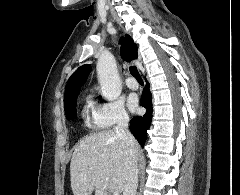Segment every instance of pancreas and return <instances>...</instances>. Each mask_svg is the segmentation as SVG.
Segmentation results:
<instances>
[{"label": "pancreas", "mask_w": 240, "mask_h": 195, "mask_svg": "<svg viewBox=\"0 0 240 195\" xmlns=\"http://www.w3.org/2000/svg\"><path fill=\"white\" fill-rule=\"evenodd\" d=\"M96 195H98V191H96Z\"/></svg>", "instance_id": "obj_1"}]
</instances>
